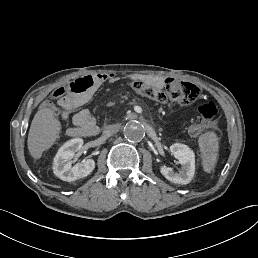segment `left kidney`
<instances>
[{
  "label": "left kidney",
  "instance_id": "obj_1",
  "mask_svg": "<svg viewBox=\"0 0 258 258\" xmlns=\"http://www.w3.org/2000/svg\"><path fill=\"white\" fill-rule=\"evenodd\" d=\"M171 154L178 159L182 165L179 173H175L172 168L162 166L161 174L169 181L176 184H188L191 182L195 173V154L185 144L175 143L170 146Z\"/></svg>",
  "mask_w": 258,
  "mask_h": 258
}]
</instances>
